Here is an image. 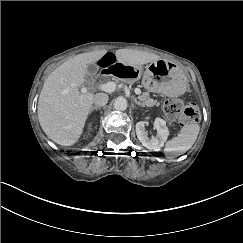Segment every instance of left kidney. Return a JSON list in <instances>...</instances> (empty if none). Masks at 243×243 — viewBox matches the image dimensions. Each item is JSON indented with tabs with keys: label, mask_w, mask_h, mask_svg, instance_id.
<instances>
[{
	"label": "left kidney",
	"mask_w": 243,
	"mask_h": 243,
	"mask_svg": "<svg viewBox=\"0 0 243 243\" xmlns=\"http://www.w3.org/2000/svg\"><path fill=\"white\" fill-rule=\"evenodd\" d=\"M148 125L146 120L140 121L136 124V134L139 141L144 147L149 150L158 152L163 148L164 143L166 142L169 136V130L166 126L164 120L156 118L154 120V129L157 131V136L149 138L145 130V126Z\"/></svg>",
	"instance_id": "left-kidney-1"
}]
</instances>
